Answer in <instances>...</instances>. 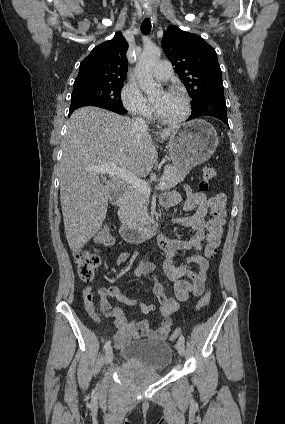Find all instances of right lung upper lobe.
<instances>
[{"mask_svg": "<svg viewBox=\"0 0 285 424\" xmlns=\"http://www.w3.org/2000/svg\"><path fill=\"white\" fill-rule=\"evenodd\" d=\"M128 43L120 32L96 46L81 62L74 85L91 82L124 81L127 73Z\"/></svg>", "mask_w": 285, "mask_h": 424, "instance_id": "obj_1", "label": "right lung upper lobe"}]
</instances>
